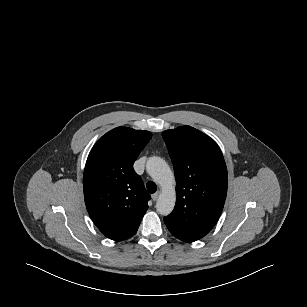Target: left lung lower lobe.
I'll return each mask as SVG.
<instances>
[{
    "label": "left lung lower lobe",
    "instance_id": "left-lung-lower-lobe-1",
    "mask_svg": "<svg viewBox=\"0 0 307 307\" xmlns=\"http://www.w3.org/2000/svg\"><path fill=\"white\" fill-rule=\"evenodd\" d=\"M164 222L168 228V230L170 231V233L175 236L176 238L182 240V241H185V242H194L198 239L196 238H193L183 232H181L180 230H178L177 228H175L172 224H170L169 222H167L165 219H164Z\"/></svg>",
    "mask_w": 307,
    "mask_h": 307
}]
</instances>
